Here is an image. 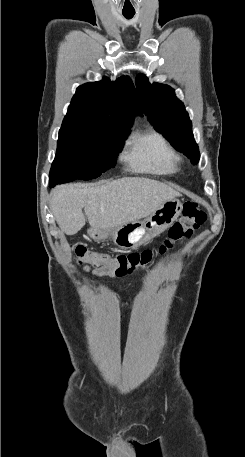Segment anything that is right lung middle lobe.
<instances>
[{
  "instance_id": "dd1d6c3e",
  "label": "right lung middle lobe",
  "mask_w": 245,
  "mask_h": 457,
  "mask_svg": "<svg viewBox=\"0 0 245 457\" xmlns=\"http://www.w3.org/2000/svg\"><path fill=\"white\" fill-rule=\"evenodd\" d=\"M130 124L64 118L50 170V187L91 180L115 166Z\"/></svg>"
}]
</instances>
